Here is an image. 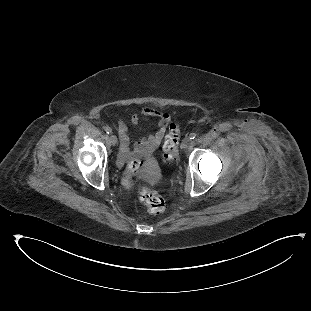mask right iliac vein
Instances as JSON below:
<instances>
[{
    "label": "right iliac vein",
    "instance_id": "obj_1",
    "mask_svg": "<svg viewBox=\"0 0 311 311\" xmlns=\"http://www.w3.org/2000/svg\"><path fill=\"white\" fill-rule=\"evenodd\" d=\"M109 139H110V142H111L113 145H115V144L117 143V137H116L115 135L111 134L110 137H109Z\"/></svg>",
    "mask_w": 311,
    "mask_h": 311
}]
</instances>
